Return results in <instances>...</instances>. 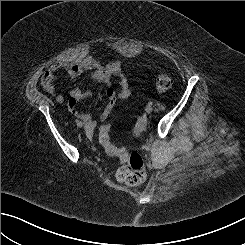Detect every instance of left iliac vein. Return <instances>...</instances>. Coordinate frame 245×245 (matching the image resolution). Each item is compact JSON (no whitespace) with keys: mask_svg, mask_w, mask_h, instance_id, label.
Listing matches in <instances>:
<instances>
[{"mask_svg":"<svg viewBox=\"0 0 245 245\" xmlns=\"http://www.w3.org/2000/svg\"><path fill=\"white\" fill-rule=\"evenodd\" d=\"M145 111H146L147 113H151V112L153 111V107L148 105V106L145 108Z\"/></svg>","mask_w":245,"mask_h":245,"instance_id":"obj_1","label":"left iliac vein"}]
</instances>
